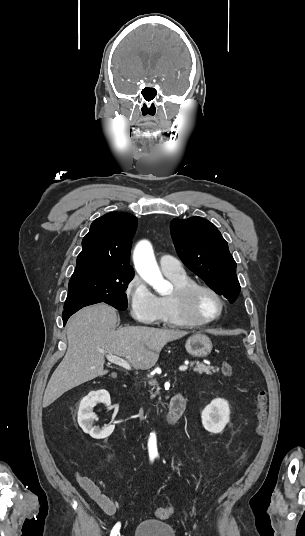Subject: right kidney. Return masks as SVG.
Here are the masks:
<instances>
[{"mask_svg": "<svg viewBox=\"0 0 305 536\" xmlns=\"http://www.w3.org/2000/svg\"><path fill=\"white\" fill-rule=\"evenodd\" d=\"M98 402H102V404H107V406H110V396L106 390L93 392V394L90 392L89 396L83 398L78 412V424L85 434H90L92 438L101 440V438H108V436L112 434L115 426H108V428H104V430H100V428H93V420H97V418L95 414H93L92 410L94 406L98 404Z\"/></svg>", "mask_w": 305, "mask_h": 536, "instance_id": "right-kidney-1", "label": "right kidney"}]
</instances>
